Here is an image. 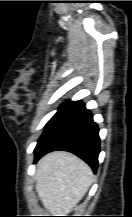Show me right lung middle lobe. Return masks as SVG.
Masks as SVG:
<instances>
[{"label": "right lung middle lobe", "instance_id": "1", "mask_svg": "<svg viewBox=\"0 0 132 217\" xmlns=\"http://www.w3.org/2000/svg\"><path fill=\"white\" fill-rule=\"evenodd\" d=\"M68 104H70V102H65L58 110V112L53 116V118L63 109L65 108ZM53 118L48 122V124L46 125V127L49 125V123L53 120Z\"/></svg>", "mask_w": 132, "mask_h": 217}]
</instances>
